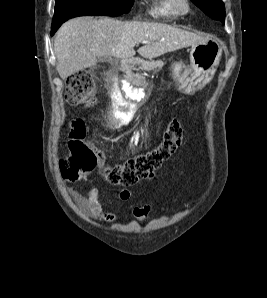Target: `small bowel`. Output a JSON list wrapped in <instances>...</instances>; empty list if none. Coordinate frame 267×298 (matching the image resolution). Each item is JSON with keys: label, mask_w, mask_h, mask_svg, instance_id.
I'll list each match as a JSON object with an SVG mask.
<instances>
[{"label": "small bowel", "mask_w": 267, "mask_h": 298, "mask_svg": "<svg viewBox=\"0 0 267 298\" xmlns=\"http://www.w3.org/2000/svg\"><path fill=\"white\" fill-rule=\"evenodd\" d=\"M130 195V191L125 188L120 192L119 198L122 201H126L130 198ZM73 197L76 203L81 207V209L91 217L104 219L108 222L116 221L117 216L114 213L104 212L102 206L98 201L97 189L91 188L87 196H83L77 192H74ZM150 211L151 207L149 205H145L134 207L131 213L136 220L142 221L148 217Z\"/></svg>", "instance_id": "1"}]
</instances>
